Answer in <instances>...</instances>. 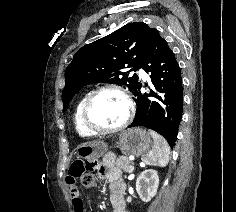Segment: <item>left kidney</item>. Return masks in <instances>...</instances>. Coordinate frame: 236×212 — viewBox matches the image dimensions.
Wrapping results in <instances>:
<instances>
[{
	"label": "left kidney",
	"mask_w": 236,
	"mask_h": 212,
	"mask_svg": "<svg viewBox=\"0 0 236 212\" xmlns=\"http://www.w3.org/2000/svg\"><path fill=\"white\" fill-rule=\"evenodd\" d=\"M159 177L153 169L144 170L136 181V191L144 202H149L157 193Z\"/></svg>",
	"instance_id": "5707ae66"
}]
</instances>
